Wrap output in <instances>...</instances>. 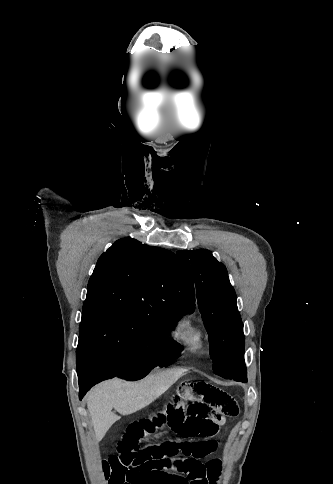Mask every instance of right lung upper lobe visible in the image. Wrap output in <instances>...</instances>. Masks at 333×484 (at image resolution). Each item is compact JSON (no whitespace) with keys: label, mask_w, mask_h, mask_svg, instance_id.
I'll use <instances>...</instances> for the list:
<instances>
[{"label":"right lung upper lobe","mask_w":333,"mask_h":484,"mask_svg":"<svg viewBox=\"0 0 333 484\" xmlns=\"http://www.w3.org/2000/svg\"><path fill=\"white\" fill-rule=\"evenodd\" d=\"M194 294L191 275L176 254L123 238L98 259L83 309L182 315L194 310Z\"/></svg>","instance_id":"1"}]
</instances>
